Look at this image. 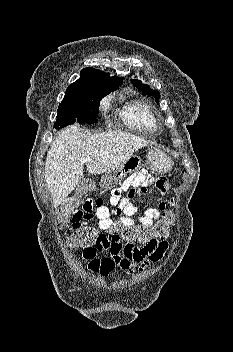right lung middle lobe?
I'll use <instances>...</instances> for the list:
<instances>
[{
  "label": "right lung middle lobe",
  "instance_id": "obj_1",
  "mask_svg": "<svg viewBox=\"0 0 233 352\" xmlns=\"http://www.w3.org/2000/svg\"><path fill=\"white\" fill-rule=\"evenodd\" d=\"M111 91L91 86L85 87L74 94L65 95L58 107L54 128L60 129L75 122L96 123L100 100Z\"/></svg>",
  "mask_w": 233,
  "mask_h": 352
}]
</instances>
